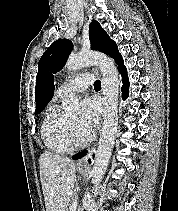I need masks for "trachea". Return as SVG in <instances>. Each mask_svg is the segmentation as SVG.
Instances as JSON below:
<instances>
[{"label": "trachea", "instance_id": "obj_1", "mask_svg": "<svg viewBox=\"0 0 178 211\" xmlns=\"http://www.w3.org/2000/svg\"><path fill=\"white\" fill-rule=\"evenodd\" d=\"M94 89L99 90L101 89V82L99 80H96L94 83Z\"/></svg>", "mask_w": 178, "mask_h": 211}]
</instances>
